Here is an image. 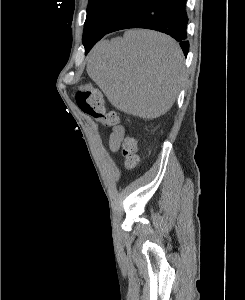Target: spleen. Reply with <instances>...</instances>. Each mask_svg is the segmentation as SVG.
Wrapping results in <instances>:
<instances>
[{"instance_id": "obj_1", "label": "spleen", "mask_w": 245, "mask_h": 300, "mask_svg": "<svg viewBox=\"0 0 245 300\" xmlns=\"http://www.w3.org/2000/svg\"><path fill=\"white\" fill-rule=\"evenodd\" d=\"M87 73L117 109L156 118L173 105L184 77L183 53L170 37L147 30L98 44Z\"/></svg>"}]
</instances>
